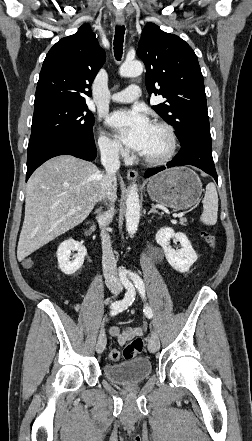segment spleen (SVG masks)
Here are the masks:
<instances>
[{"label": "spleen", "mask_w": 252, "mask_h": 441, "mask_svg": "<svg viewBox=\"0 0 252 441\" xmlns=\"http://www.w3.org/2000/svg\"><path fill=\"white\" fill-rule=\"evenodd\" d=\"M202 203L203 213L200 217L201 222L206 225H215L217 222L218 212V194L213 183L207 184Z\"/></svg>", "instance_id": "3e777b00"}]
</instances>
